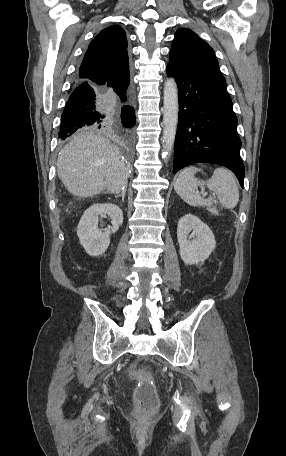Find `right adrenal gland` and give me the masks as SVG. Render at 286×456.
Instances as JSON below:
<instances>
[{
	"label": "right adrenal gland",
	"instance_id": "2a0ac1e0",
	"mask_svg": "<svg viewBox=\"0 0 286 456\" xmlns=\"http://www.w3.org/2000/svg\"><path fill=\"white\" fill-rule=\"evenodd\" d=\"M120 196L122 197V201L124 202V198H125V190H122V193L120 194Z\"/></svg>",
	"mask_w": 286,
	"mask_h": 456
}]
</instances>
